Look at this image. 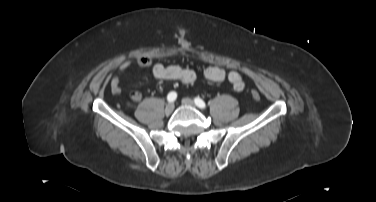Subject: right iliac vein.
I'll list each match as a JSON object with an SVG mask.
<instances>
[{"mask_svg":"<svg viewBox=\"0 0 376 202\" xmlns=\"http://www.w3.org/2000/svg\"><path fill=\"white\" fill-rule=\"evenodd\" d=\"M173 110H174V104L169 103L166 105L164 112L166 115H170L173 112Z\"/></svg>","mask_w":376,"mask_h":202,"instance_id":"63e3f726","label":"right iliac vein"}]
</instances>
